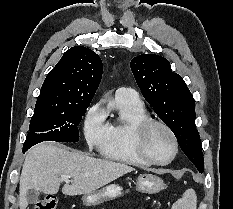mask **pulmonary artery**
<instances>
[{
	"label": "pulmonary artery",
	"instance_id": "obj_1",
	"mask_svg": "<svg viewBox=\"0 0 233 209\" xmlns=\"http://www.w3.org/2000/svg\"><path fill=\"white\" fill-rule=\"evenodd\" d=\"M116 94L125 96L133 101L139 102L140 98L138 96V94L136 93V91H134L131 88H119L116 92Z\"/></svg>",
	"mask_w": 233,
	"mask_h": 209
}]
</instances>
